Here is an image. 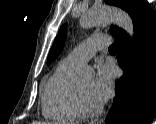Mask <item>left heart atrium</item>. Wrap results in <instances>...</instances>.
Here are the masks:
<instances>
[{"label": "left heart atrium", "mask_w": 156, "mask_h": 124, "mask_svg": "<svg viewBox=\"0 0 156 124\" xmlns=\"http://www.w3.org/2000/svg\"><path fill=\"white\" fill-rule=\"evenodd\" d=\"M113 89V71L108 65H99L95 79L92 82V96L102 105L110 97Z\"/></svg>", "instance_id": "39dd6f15"}]
</instances>
